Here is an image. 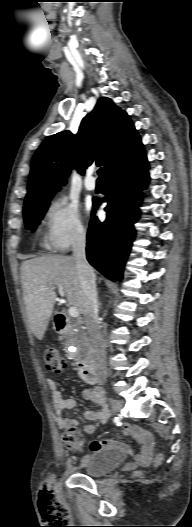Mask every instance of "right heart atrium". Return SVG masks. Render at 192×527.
<instances>
[{
	"label": "right heart atrium",
	"mask_w": 192,
	"mask_h": 527,
	"mask_svg": "<svg viewBox=\"0 0 192 527\" xmlns=\"http://www.w3.org/2000/svg\"><path fill=\"white\" fill-rule=\"evenodd\" d=\"M46 245L54 251H63L84 238L86 228L77 208L64 199L49 203L44 213Z\"/></svg>",
	"instance_id": "1"
}]
</instances>
